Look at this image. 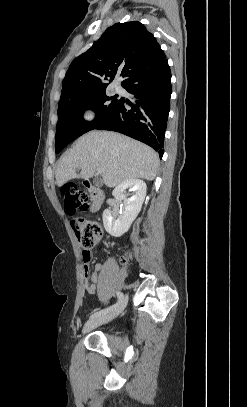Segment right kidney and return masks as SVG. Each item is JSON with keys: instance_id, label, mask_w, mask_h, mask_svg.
Masks as SVG:
<instances>
[{"instance_id": "right-kidney-1", "label": "right kidney", "mask_w": 247, "mask_h": 407, "mask_svg": "<svg viewBox=\"0 0 247 407\" xmlns=\"http://www.w3.org/2000/svg\"><path fill=\"white\" fill-rule=\"evenodd\" d=\"M133 191L134 194L127 198L125 192ZM147 186L143 180L127 179L121 182L112 192L114 198L123 201V211L120 215L117 211L106 209L103 212V224L105 230L114 237H120L127 232L141 211L146 196Z\"/></svg>"}]
</instances>
